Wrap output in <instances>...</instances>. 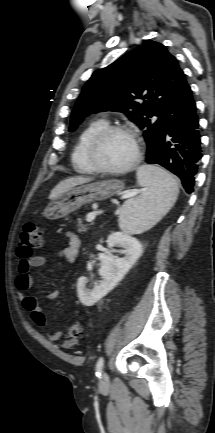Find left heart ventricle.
I'll list each match as a JSON object with an SVG mask.
<instances>
[{
  "mask_svg": "<svg viewBox=\"0 0 215 433\" xmlns=\"http://www.w3.org/2000/svg\"><path fill=\"white\" fill-rule=\"evenodd\" d=\"M135 153L133 140L122 133H113L104 138L97 147L96 160L107 168H120L128 164Z\"/></svg>",
  "mask_w": 215,
  "mask_h": 433,
  "instance_id": "b2bd125f",
  "label": "left heart ventricle"
}]
</instances>
